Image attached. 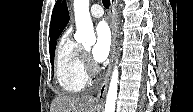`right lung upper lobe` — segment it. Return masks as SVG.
Returning <instances> with one entry per match:
<instances>
[{
  "mask_svg": "<svg viewBox=\"0 0 193 112\" xmlns=\"http://www.w3.org/2000/svg\"><path fill=\"white\" fill-rule=\"evenodd\" d=\"M68 22H69L68 8L66 6V2L64 1L62 2L61 7L58 11L53 32H51L50 30L51 39L49 43L50 46L49 49H52L56 45L57 38L60 36V34L62 33L63 29L66 27Z\"/></svg>",
  "mask_w": 193,
  "mask_h": 112,
  "instance_id": "right-lung-upper-lobe-1",
  "label": "right lung upper lobe"
}]
</instances>
